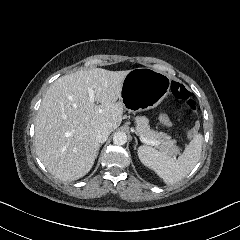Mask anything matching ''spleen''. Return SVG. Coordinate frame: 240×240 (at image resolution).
<instances>
[{
    "instance_id": "1",
    "label": "spleen",
    "mask_w": 240,
    "mask_h": 240,
    "mask_svg": "<svg viewBox=\"0 0 240 240\" xmlns=\"http://www.w3.org/2000/svg\"><path fill=\"white\" fill-rule=\"evenodd\" d=\"M203 136L196 134L177 160L151 146H140L138 157L148 168L154 170L166 184H174L195 167L201 157Z\"/></svg>"
}]
</instances>
